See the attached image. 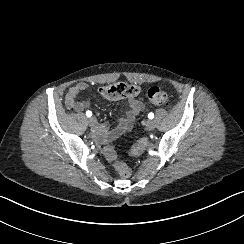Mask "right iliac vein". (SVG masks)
I'll list each match as a JSON object with an SVG mask.
<instances>
[{
    "instance_id": "right-iliac-vein-1",
    "label": "right iliac vein",
    "mask_w": 244,
    "mask_h": 244,
    "mask_svg": "<svg viewBox=\"0 0 244 244\" xmlns=\"http://www.w3.org/2000/svg\"><path fill=\"white\" fill-rule=\"evenodd\" d=\"M88 122L90 126H95L97 124V119L94 116H92L88 119Z\"/></svg>"
}]
</instances>
